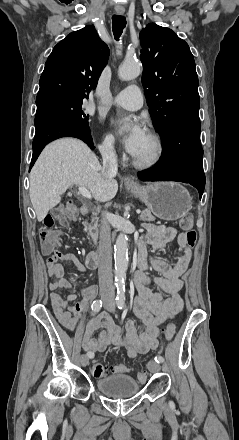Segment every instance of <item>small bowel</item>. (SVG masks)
<instances>
[{"mask_svg": "<svg viewBox=\"0 0 239 440\" xmlns=\"http://www.w3.org/2000/svg\"><path fill=\"white\" fill-rule=\"evenodd\" d=\"M146 234L141 237L138 245L139 270L134 274V283L138 295L134 301V312L141 324L133 320L126 323V335L120 323L116 324L113 317L107 313L92 318L84 316L85 303L69 305L76 299L74 293L63 296V290H69L70 284L64 279L62 263L72 262L79 271H84V265L72 253L53 250L47 258L48 274L52 281L49 283L51 300L55 314L60 323L68 330L74 331L80 321H85L82 338L84 350L93 355L104 351L108 346L115 345L126 349L129 357L146 354L158 347L159 326L167 320L178 316L183 308L180 291L183 287L182 275L188 268L191 259V245L186 234L178 229L165 225L147 224ZM177 239V249L174 264L147 257V245L155 250L163 248L167 243ZM153 268L161 276H153L149 269ZM155 283L166 294L152 291L149 284ZM86 299L93 296L92 288H85Z\"/></svg>", "mask_w": 239, "mask_h": 440, "instance_id": "small-bowel-1", "label": "small bowel"}]
</instances>
